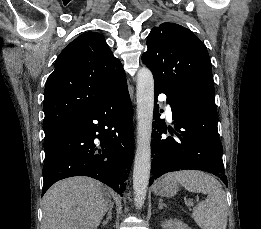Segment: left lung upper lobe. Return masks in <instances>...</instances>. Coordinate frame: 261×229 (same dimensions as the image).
Here are the masks:
<instances>
[{
    "instance_id": "1",
    "label": "left lung upper lobe",
    "mask_w": 261,
    "mask_h": 229,
    "mask_svg": "<svg viewBox=\"0 0 261 229\" xmlns=\"http://www.w3.org/2000/svg\"><path fill=\"white\" fill-rule=\"evenodd\" d=\"M143 63L154 83L169 92L196 94L215 102L208 51L187 28L175 23L154 27L147 38Z\"/></svg>"
}]
</instances>
